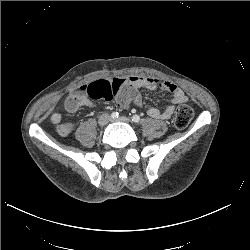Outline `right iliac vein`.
I'll use <instances>...</instances> for the list:
<instances>
[{"label": "right iliac vein", "mask_w": 250, "mask_h": 250, "mask_svg": "<svg viewBox=\"0 0 250 250\" xmlns=\"http://www.w3.org/2000/svg\"><path fill=\"white\" fill-rule=\"evenodd\" d=\"M108 120L109 116L106 113H104L98 117V125L100 127H104L108 123Z\"/></svg>", "instance_id": "right-iliac-vein-1"}]
</instances>
